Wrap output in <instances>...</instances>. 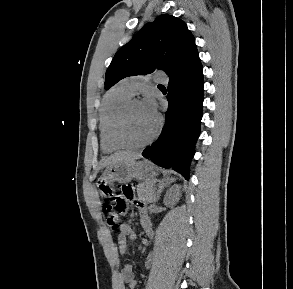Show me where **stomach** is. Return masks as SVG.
Here are the masks:
<instances>
[{"instance_id": "obj_1", "label": "stomach", "mask_w": 293, "mask_h": 289, "mask_svg": "<svg viewBox=\"0 0 293 289\" xmlns=\"http://www.w3.org/2000/svg\"><path fill=\"white\" fill-rule=\"evenodd\" d=\"M157 172L153 164L147 160L117 162L107 167L104 174L98 179L97 187L101 196L110 198L114 195V183H128L132 179L150 181Z\"/></svg>"}]
</instances>
